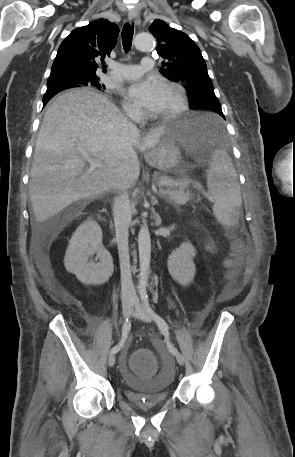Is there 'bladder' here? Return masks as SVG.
Here are the masks:
<instances>
[{
	"label": "bladder",
	"mask_w": 295,
	"mask_h": 457,
	"mask_svg": "<svg viewBox=\"0 0 295 457\" xmlns=\"http://www.w3.org/2000/svg\"><path fill=\"white\" fill-rule=\"evenodd\" d=\"M155 352L160 354L161 369L159 374H152L151 378H139L138 374L131 375L130 360L128 364H120L118 367L117 375L124 378L126 384L124 396L138 411H149L151 407L165 403L170 397L168 386L175 371V362L171 353L166 352L163 342L156 344Z\"/></svg>",
	"instance_id": "obj_1"
}]
</instances>
